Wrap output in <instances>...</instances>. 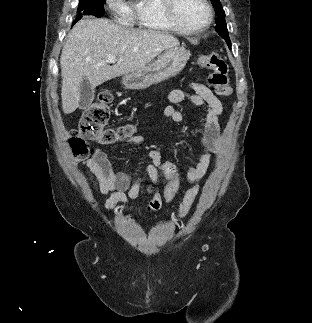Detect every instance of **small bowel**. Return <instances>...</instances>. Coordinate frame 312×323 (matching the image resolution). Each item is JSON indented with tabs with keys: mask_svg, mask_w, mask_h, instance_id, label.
<instances>
[{
	"mask_svg": "<svg viewBox=\"0 0 312 323\" xmlns=\"http://www.w3.org/2000/svg\"><path fill=\"white\" fill-rule=\"evenodd\" d=\"M190 89L191 91L173 89L168 94V100L172 104L189 102L197 107L204 108L206 111L202 139L205 151L199 157L197 163L194 166H189L186 170L187 180L191 183H196L208 171L213 155L221 150L220 120L223 114V106L207 85L201 82H192ZM163 114L174 123H182L184 120L183 113L173 105L166 106ZM127 142L131 145L139 146L144 143V137L133 135L127 139ZM148 157L150 160L146 168L148 178L158 176V174L152 173V168L159 167L155 161L156 158H162L161 152L157 149H151L148 152ZM85 165L98 180L100 193L104 196L110 194L104 204V209L107 213H111L119 203L128 205L131 201L137 199L142 187V179L131 183L130 175L115 170L107 155L101 149H96L91 157L85 161ZM152 184L157 187L159 182ZM153 199H161V193L158 189H156Z\"/></svg>",
	"mask_w": 312,
	"mask_h": 323,
	"instance_id": "1",
	"label": "small bowel"
}]
</instances>
